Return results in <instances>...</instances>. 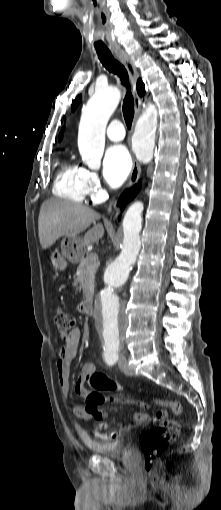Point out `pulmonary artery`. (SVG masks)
<instances>
[{
  "label": "pulmonary artery",
  "mask_w": 221,
  "mask_h": 510,
  "mask_svg": "<svg viewBox=\"0 0 221 510\" xmlns=\"http://www.w3.org/2000/svg\"><path fill=\"white\" fill-rule=\"evenodd\" d=\"M107 137L114 142L123 140L125 136V130L121 122L113 121L109 124L106 130Z\"/></svg>",
  "instance_id": "obj_1"
}]
</instances>
